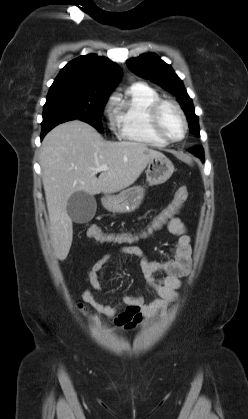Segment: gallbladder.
<instances>
[{
  "label": "gallbladder",
  "mask_w": 248,
  "mask_h": 419,
  "mask_svg": "<svg viewBox=\"0 0 248 419\" xmlns=\"http://www.w3.org/2000/svg\"><path fill=\"white\" fill-rule=\"evenodd\" d=\"M96 209L95 198L84 191L73 193L67 202V213L75 223L89 222L94 217Z\"/></svg>",
  "instance_id": "gallbladder-1"
}]
</instances>
